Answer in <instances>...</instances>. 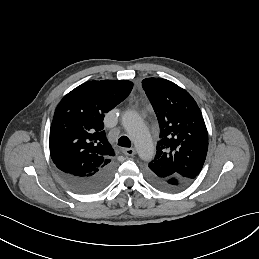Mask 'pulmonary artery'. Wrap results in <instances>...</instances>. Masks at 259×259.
<instances>
[{
	"instance_id": "1",
	"label": "pulmonary artery",
	"mask_w": 259,
	"mask_h": 259,
	"mask_svg": "<svg viewBox=\"0 0 259 259\" xmlns=\"http://www.w3.org/2000/svg\"><path fill=\"white\" fill-rule=\"evenodd\" d=\"M122 127L126 131L127 135L134 139L135 136V130H136V124L133 122L130 115H126L122 119Z\"/></svg>"
}]
</instances>
